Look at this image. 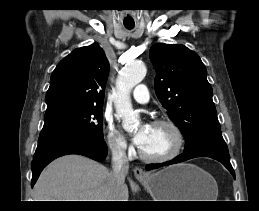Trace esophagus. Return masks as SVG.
<instances>
[{
  "instance_id": "34e87169",
  "label": "esophagus",
  "mask_w": 259,
  "mask_h": 211,
  "mask_svg": "<svg viewBox=\"0 0 259 211\" xmlns=\"http://www.w3.org/2000/svg\"><path fill=\"white\" fill-rule=\"evenodd\" d=\"M134 175H135V177H136L138 180H144V179L148 178L147 173H145V172L143 171V169L140 168V167H136V168L134 169Z\"/></svg>"
}]
</instances>
